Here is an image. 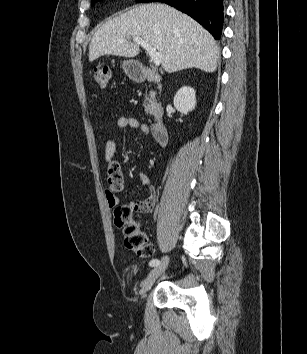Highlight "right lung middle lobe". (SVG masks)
I'll use <instances>...</instances> for the list:
<instances>
[{
	"label": "right lung middle lobe",
	"mask_w": 307,
	"mask_h": 354,
	"mask_svg": "<svg viewBox=\"0 0 307 354\" xmlns=\"http://www.w3.org/2000/svg\"><path fill=\"white\" fill-rule=\"evenodd\" d=\"M97 1H99V0H92V5L95 3V2H97ZM139 2H154V1H157V0H138Z\"/></svg>",
	"instance_id": "right-lung-middle-lobe-1"
}]
</instances>
